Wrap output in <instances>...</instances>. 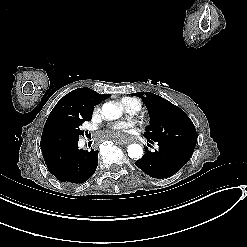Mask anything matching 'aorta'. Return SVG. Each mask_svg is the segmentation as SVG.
I'll list each match as a JSON object with an SVG mask.
<instances>
[{
  "instance_id": "obj_1",
  "label": "aorta",
  "mask_w": 247,
  "mask_h": 247,
  "mask_svg": "<svg viewBox=\"0 0 247 247\" xmlns=\"http://www.w3.org/2000/svg\"><path fill=\"white\" fill-rule=\"evenodd\" d=\"M102 114L108 120L118 119L122 114V109L113 102H107L102 106ZM128 156L132 159H140L143 149L139 144H131L127 148Z\"/></svg>"
}]
</instances>
